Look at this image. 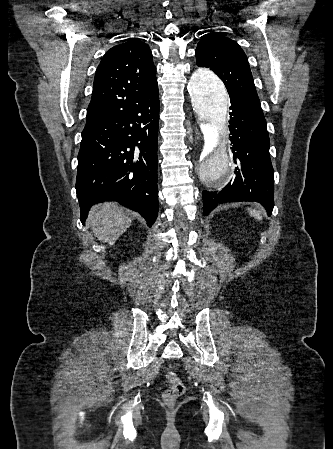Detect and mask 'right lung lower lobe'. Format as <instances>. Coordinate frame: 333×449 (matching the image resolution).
Returning <instances> with one entry per match:
<instances>
[{
  "mask_svg": "<svg viewBox=\"0 0 333 449\" xmlns=\"http://www.w3.org/2000/svg\"><path fill=\"white\" fill-rule=\"evenodd\" d=\"M158 122L155 91L127 110L85 126L75 186L83 224L89 208L106 200L139 212L148 226L155 222Z\"/></svg>",
  "mask_w": 333,
  "mask_h": 449,
  "instance_id": "obj_1",
  "label": "right lung lower lobe"
}]
</instances>
